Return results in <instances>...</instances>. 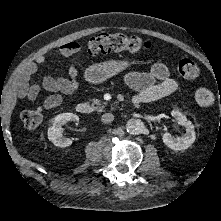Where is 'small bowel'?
<instances>
[{
    "mask_svg": "<svg viewBox=\"0 0 221 221\" xmlns=\"http://www.w3.org/2000/svg\"><path fill=\"white\" fill-rule=\"evenodd\" d=\"M80 46L76 42H69L60 46L56 53L59 56H73L68 67L67 77H45L40 84L30 82L31 77L37 72L38 66L46 61V55H39L33 61L27 63L19 74L20 95L35 100L41 91L45 89L52 92L44 100V106L48 109L56 108L62 104L61 94L74 95L78 90V66L77 59ZM125 82L138 93L141 103L160 100L177 91L178 81L170 76L168 67L161 62L154 63L145 73L131 72L125 75Z\"/></svg>",
    "mask_w": 221,
    "mask_h": 221,
    "instance_id": "obj_1",
    "label": "small bowel"
}]
</instances>
